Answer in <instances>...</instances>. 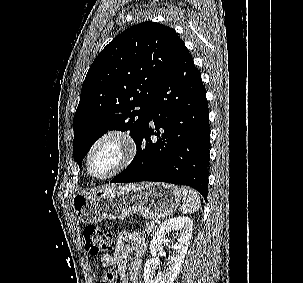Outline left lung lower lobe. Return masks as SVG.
<instances>
[{
  "mask_svg": "<svg viewBox=\"0 0 303 283\" xmlns=\"http://www.w3.org/2000/svg\"><path fill=\"white\" fill-rule=\"evenodd\" d=\"M150 121L155 128L149 127ZM209 136L206 90L185 47L150 101L136 156L111 182L187 185L206 200Z\"/></svg>",
  "mask_w": 303,
  "mask_h": 283,
  "instance_id": "0a47b994",
  "label": "left lung lower lobe"
}]
</instances>
